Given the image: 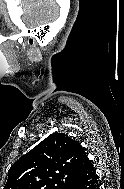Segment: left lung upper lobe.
<instances>
[{"mask_svg":"<svg viewBox=\"0 0 124 189\" xmlns=\"http://www.w3.org/2000/svg\"><path fill=\"white\" fill-rule=\"evenodd\" d=\"M88 160L77 140L55 132L11 166L4 189H60Z\"/></svg>","mask_w":124,"mask_h":189,"instance_id":"obj_1","label":"left lung upper lobe"}]
</instances>
